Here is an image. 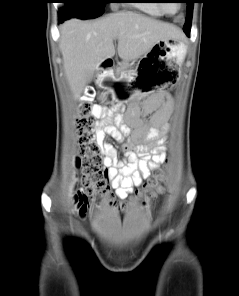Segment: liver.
<instances>
[{
  "label": "liver",
  "instance_id": "1",
  "mask_svg": "<svg viewBox=\"0 0 239 296\" xmlns=\"http://www.w3.org/2000/svg\"><path fill=\"white\" fill-rule=\"evenodd\" d=\"M181 37L178 27L132 11L95 22L68 20L60 27L59 48L71 92L79 97L101 63L115 55L114 39H118L119 57L132 61L160 39Z\"/></svg>",
  "mask_w": 239,
  "mask_h": 296
}]
</instances>
